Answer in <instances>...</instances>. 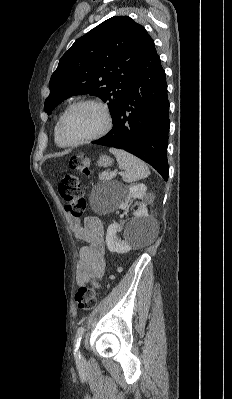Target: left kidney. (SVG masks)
<instances>
[{
  "label": "left kidney",
  "instance_id": "obj_1",
  "mask_svg": "<svg viewBox=\"0 0 232 399\" xmlns=\"http://www.w3.org/2000/svg\"><path fill=\"white\" fill-rule=\"evenodd\" d=\"M146 190L145 184H131L127 190H124V200L120 203L121 209H127L129 207L128 203L132 198L144 200ZM133 215H135L134 219L129 221L125 229V239H119L116 235L119 229L118 223L108 225L106 243L110 251L126 253L129 249H132L133 245H138V243L145 241L150 233V229L152 231L153 223H151L148 217V209L145 201H141Z\"/></svg>",
  "mask_w": 232,
  "mask_h": 399
}]
</instances>
